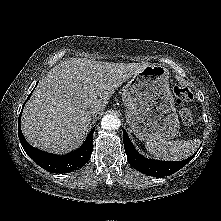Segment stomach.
Segmentation results:
<instances>
[{
	"label": "stomach",
	"instance_id": "stomach-1",
	"mask_svg": "<svg viewBox=\"0 0 221 221\" xmlns=\"http://www.w3.org/2000/svg\"><path fill=\"white\" fill-rule=\"evenodd\" d=\"M126 121L135 136L146 142L174 138L180 128L175 99L169 87V70L148 65L132 76L122 92Z\"/></svg>",
	"mask_w": 221,
	"mask_h": 221
}]
</instances>
